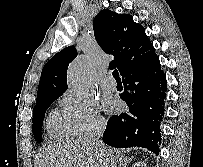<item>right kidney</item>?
<instances>
[{
	"mask_svg": "<svg viewBox=\"0 0 203 167\" xmlns=\"http://www.w3.org/2000/svg\"><path fill=\"white\" fill-rule=\"evenodd\" d=\"M132 167H147L144 162H137Z\"/></svg>",
	"mask_w": 203,
	"mask_h": 167,
	"instance_id": "right-kidney-1",
	"label": "right kidney"
}]
</instances>
